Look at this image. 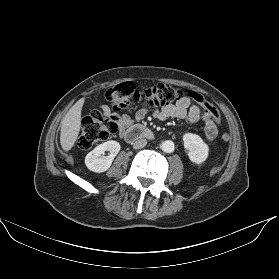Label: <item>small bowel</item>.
Here are the masks:
<instances>
[{"instance_id":"1","label":"small bowel","mask_w":279,"mask_h":279,"mask_svg":"<svg viewBox=\"0 0 279 279\" xmlns=\"http://www.w3.org/2000/svg\"><path fill=\"white\" fill-rule=\"evenodd\" d=\"M104 112H108L107 106L101 107ZM147 109H140L136 112L134 118L123 115L120 118L119 130L121 135L130 127L134 126L136 121L141 120L146 115ZM153 115L158 120L164 121L169 118L185 119L191 124H195L202 120L205 124V137L208 141H212L217 136V126L211 115L204 109L202 110L189 97H182L176 104L163 107H156Z\"/></svg>"}]
</instances>
